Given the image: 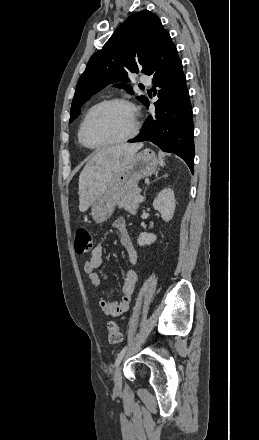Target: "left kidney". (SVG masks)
Segmentation results:
<instances>
[{
    "label": "left kidney",
    "mask_w": 259,
    "mask_h": 440,
    "mask_svg": "<svg viewBox=\"0 0 259 440\" xmlns=\"http://www.w3.org/2000/svg\"><path fill=\"white\" fill-rule=\"evenodd\" d=\"M175 196L171 188L162 189L153 201V208L161 213V217L165 222H169L175 211ZM157 237L152 233H140L138 244L140 246L151 245L156 241Z\"/></svg>",
    "instance_id": "left-kidney-1"
}]
</instances>
